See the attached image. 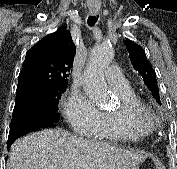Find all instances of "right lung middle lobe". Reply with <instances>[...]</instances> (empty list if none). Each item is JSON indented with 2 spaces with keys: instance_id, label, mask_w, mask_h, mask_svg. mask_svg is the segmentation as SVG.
I'll return each mask as SVG.
<instances>
[{
  "instance_id": "dd1d6c3e",
  "label": "right lung middle lobe",
  "mask_w": 177,
  "mask_h": 169,
  "mask_svg": "<svg viewBox=\"0 0 177 169\" xmlns=\"http://www.w3.org/2000/svg\"><path fill=\"white\" fill-rule=\"evenodd\" d=\"M65 89L45 93L28 92L16 96L12 118L42 116L58 121L60 119L58 104Z\"/></svg>"
}]
</instances>
